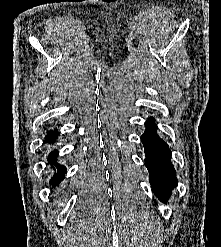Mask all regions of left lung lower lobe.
Segmentation results:
<instances>
[{
    "mask_svg": "<svg viewBox=\"0 0 221 247\" xmlns=\"http://www.w3.org/2000/svg\"><path fill=\"white\" fill-rule=\"evenodd\" d=\"M146 123V132L141 140L145 149V165L149 171V181L155 195L164 203L169 199L177 179L173 165L170 162V151L167 144L157 135V126L152 122Z\"/></svg>",
    "mask_w": 221,
    "mask_h": 247,
    "instance_id": "1",
    "label": "left lung lower lobe"
}]
</instances>
